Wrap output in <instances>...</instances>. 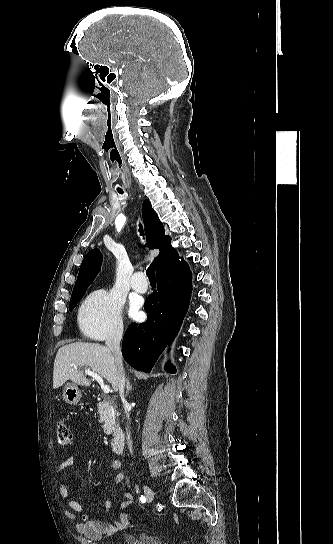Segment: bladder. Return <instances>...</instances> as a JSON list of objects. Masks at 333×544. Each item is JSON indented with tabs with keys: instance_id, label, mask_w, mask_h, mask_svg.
Listing matches in <instances>:
<instances>
[{
	"instance_id": "31cf9c89",
	"label": "bladder",
	"mask_w": 333,
	"mask_h": 544,
	"mask_svg": "<svg viewBox=\"0 0 333 544\" xmlns=\"http://www.w3.org/2000/svg\"><path fill=\"white\" fill-rule=\"evenodd\" d=\"M124 544H164L161 538L153 534L141 533L127 535L123 538Z\"/></svg>"
}]
</instances>
